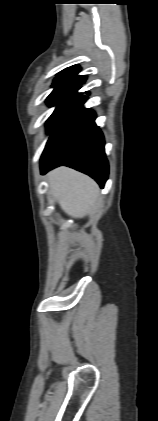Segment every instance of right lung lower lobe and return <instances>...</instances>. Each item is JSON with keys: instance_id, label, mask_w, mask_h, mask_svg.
I'll return each mask as SVG.
<instances>
[{"instance_id": "1", "label": "right lung lower lobe", "mask_w": 158, "mask_h": 421, "mask_svg": "<svg viewBox=\"0 0 158 421\" xmlns=\"http://www.w3.org/2000/svg\"><path fill=\"white\" fill-rule=\"evenodd\" d=\"M87 99L76 93L63 107L42 153L41 173L65 165L88 174L103 188L108 178L104 137L94 122L95 113L82 107Z\"/></svg>"}]
</instances>
